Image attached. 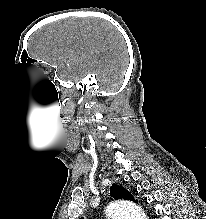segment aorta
<instances>
[{
    "mask_svg": "<svg viewBox=\"0 0 206 219\" xmlns=\"http://www.w3.org/2000/svg\"><path fill=\"white\" fill-rule=\"evenodd\" d=\"M106 214L111 219H148L144 211L130 201H113L106 207Z\"/></svg>",
    "mask_w": 206,
    "mask_h": 219,
    "instance_id": "762f6f07",
    "label": "aorta"
}]
</instances>
